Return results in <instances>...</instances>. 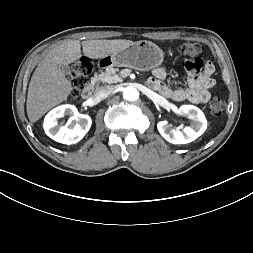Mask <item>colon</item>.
Segmentation results:
<instances>
[{"label":"colon","mask_w":253,"mask_h":253,"mask_svg":"<svg viewBox=\"0 0 253 253\" xmlns=\"http://www.w3.org/2000/svg\"><path fill=\"white\" fill-rule=\"evenodd\" d=\"M202 51L203 45L198 42L184 43L180 50L182 61L198 58L201 63H205L199 57ZM91 72L92 64L88 58H82L73 65L70 76V93L73 97H78L88 85ZM209 109L212 115L221 116L225 109V103L220 98L215 97L210 101Z\"/></svg>","instance_id":"5ec220e1"}]
</instances>
